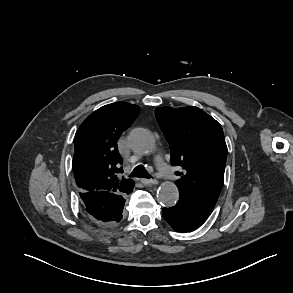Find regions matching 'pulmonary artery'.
I'll use <instances>...</instances> for the list:
<instances>
[{
    "label": "pulmonary artery",
    "mask_w": 293,
    "mask_h": 293,
    "mask_svg": "<svg viewBox=\"0 0 293 293\" xmlns=\"http://www.w3.org/2000/svg\"><path fill=\"white\" fill-rule=\"evenodd\" d=\"M158 170L165 179H170L173 176L172 169L163 160H160Z\"/></svg>",
    "instance_id": "e3ab8cb5"
}]
</instances>
